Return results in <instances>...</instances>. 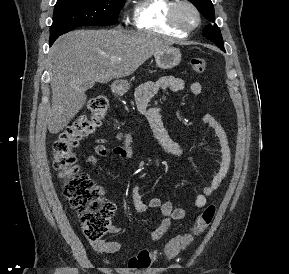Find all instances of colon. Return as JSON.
I'll use <instances>...</instances> for the list:
<instances>
[{"mask_svg": "<svg viewBox=\"0 0 289 274\" xmlns=\"http://www.w3.org/2000/svg\"><path fill=\"white\" fill-rule=\"evenodd\" d=\"M190 65L196 74H202L206 69V61L202 57L192 58ZM107 109L108 102L104 97L91 98L88 102L89 114L76 118L61 132L53 144V165L63 180L64 195L79 213L84 235L93 242L102 240L111 230V217L115 206L111 202L104 201L102 189L87 174L79 170L73 149L83 138L95 131ZM216 211V206L213 204L205 207L189 231L174 237L166 244L165 258L172 259L189 246L210 226ZM157 257L158 254L155 251L142 250L129 260V267L148 268Z\"/></svg>", "mask_w": 289, "mask_h": 274, "instance_id": "obj_1", "label": "colon"}]
</instances>
